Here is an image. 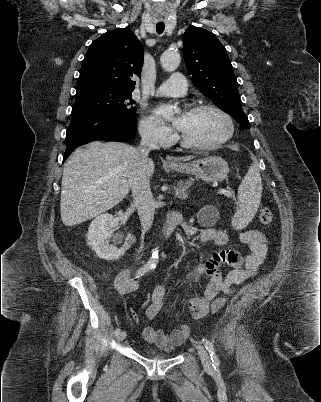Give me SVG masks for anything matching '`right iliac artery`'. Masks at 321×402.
Returning <instances> with one entry per match:
<instances>
[{
    "label": "right iliac artery",
    "mask_w": 321,
    "mask_h": 402,
    "mask_svg": "<svg viewBox=\"0 0 321 402\" xmlns=\"http://www.w3.org/2000/svg\"><path fill=\"white\" fill-rule=\"evenodd\" d=\"M149 269H152V267L150 266V265H144L143 267H141L138 271H137V273H136V276L137 277H140V276H142V275H144V273H146ZM120 328H116V330H115V334L116 335H118L119 333H120Z\"/></svg>",
    "instance_id": "82829eb1"
}]
</instances>
